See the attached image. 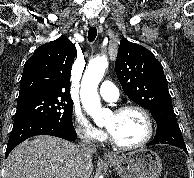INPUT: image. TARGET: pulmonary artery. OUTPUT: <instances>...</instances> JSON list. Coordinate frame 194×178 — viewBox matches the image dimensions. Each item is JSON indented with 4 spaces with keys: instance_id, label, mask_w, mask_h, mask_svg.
I'll use <instances>...</instances> for the list:
<instances>
[{
    "instance_id": "e3ab8cb5",
    "label": "pulmonary artery",
    "mask_w": 194,
    "mask_h": 178,
    "mask_svg": "<svg viewBox=\"0 0 194 178\" xmlns=\"http://www.w3.org/2000/svg\"><path fill=\"white\" fill-rule=\"evenodd\" d=\"M99 93L108 102H116L119 98L118 89L111 81L102 82Z\"/></svg>"
}]
</instances>
